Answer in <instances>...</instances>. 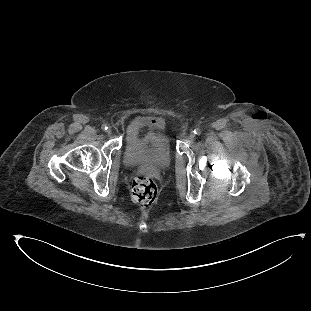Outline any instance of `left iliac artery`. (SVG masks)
Here are the masks:
<instances>
[{
    "mask_svg": "<svg viewBox=\"0 0 311 311\" xmlns=\"http://www.w3.org/2000/svg\"><path fill=\"white\" fill-rule=\"evenodd\" d=\"M194 134H196V135H200V134H201V130H200V129H198V128H197V129H195V130H194Z\"/></svg>",
    "mask_w": 311,
    "mask_h": 311,
    "instance_id": "obj_1",
    "label": "left iliac artery"
}]
</instances>
